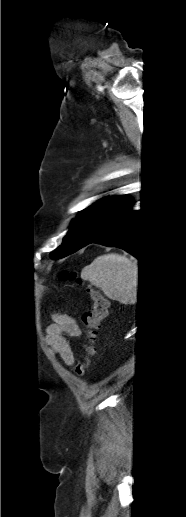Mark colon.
Returning <instances> with one entry per match:
<instances>
[{"label":"colon","mask_w":186,"mask_h":517,"mask_svg":"<svg viewBox=\"0 0 186 517\" xmlns=\"http://www.w3.org/2000/svg\"><path fill=\"white\" fill-rule=\"evenodd\" d=\"M60 279L63 282L81 283L78 272L68 268L61 271ZM87 291L92 305L91 309L82 315L86 342L84 345V354L74 369L78 376H82L85 373L90 364L91 358L95 354V340L98 328L101 321L107 316L109 307L108 300L98 290L88 287Z\"/></svg>","instance_id":"colon-1"}]
</instances>
